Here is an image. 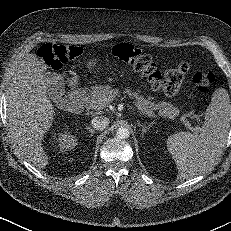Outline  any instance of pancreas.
I'll return each instance as SVG.
<instances>
[{"mask_svg":"<svg viewBox=\"0 0 231 231\" xmlns=\"http://www.w3.org/2000/svg\"><path fill=\"white\" fill-rule=\"evenodd\" d=\"M122 93L128 95L131 99L135 98V105L143 114H146L149 117L174 119L179 115V110L170 103L164 101L156 103L154 97L145 98L144 96L139 95V93L133 92L131 89H126ZM117 97H121L118 88H112L109 85H95L92 87L91 95L86 98V105L91 108L93 106H98L100 109L97 110H101L107 107V105ZM154 111H158V115L155 114ZM182 117L186 119V117L194 118L197 116L190 112L182 115L181 118Z\"/></svg>","mask_w":231,"mask_h":231,"instance_id":"pancreas-1","label":"pancreas"}]
</instances>
